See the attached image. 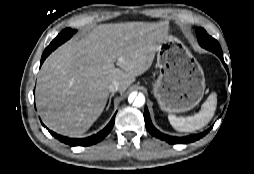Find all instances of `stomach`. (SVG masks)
Wrapping results in <instances>:
<instances>
[{
	"mask_svg": "<svg viewBox=\"0 0 254 174\" xmlns=\"http://www.w3.org/2000/svg\"><path fill=\"white\" fill-rule=\"evenodd\" d=\"M156 53L159 76L152 90L161 110L180 113L194 108L205 90L200 64L188 48L171 34L161 39Z\"/></svg>",
	"mask_w": 254,
	"mask_h": 174,
	"instance_id": "obj_1",
	"label": "stomach"
}]
</instances>
